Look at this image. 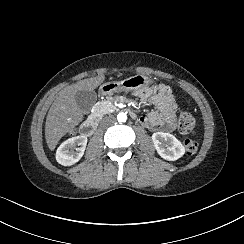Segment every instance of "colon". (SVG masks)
<instances>
[{"label": "colon", "instance_id": "1", "mask_svg": "<svg viewBox=\"0 0 244 244\" xmlns=\"http://www.w3.org/2000/svg\"><path fill=\"white\" fill-rule=\"evenodd\" d=\"M178 129L186 138L184 140L185 151L193 155L199 151V142L193 138L196 134V122L194 116L189 112H179L177 115Z\"/></svg>", "mask_w": 244, "mask_h": 244}]
</instances>
